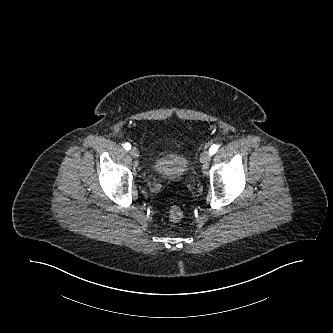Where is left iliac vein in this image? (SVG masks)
Listing matches in <instances>:
<instances>
[{
    "mask_svg": "<svg viewBox=\"0 0 333 333\" xmlns=\"http://www.w3.org/2000/svg\"><path fill=\"white\" fill-rule=\"evenodd\" d=\"M211 160V154L208 151H203L200 155V162L203 167H207Z\"/></svg>",
    "mask_w": 333,
    "mask_h": 333,
    "instance_id": "obj_1",
    "label": "left iliac vein"
}]
</instances>
